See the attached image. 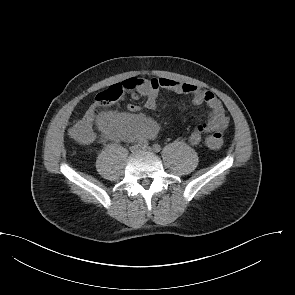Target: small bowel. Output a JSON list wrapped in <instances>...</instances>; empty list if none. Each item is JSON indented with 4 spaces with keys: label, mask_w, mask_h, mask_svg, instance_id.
<instances>
[{
    "label": "small bowel",
    "mask_w": 295,
    "mask_h": 295,
    "mask_svg": "<svg viewBox=\"0 0 295 295\" xmlns=\"http://www.w3.org/2000/svg\"><path fill=\"white\" fill-rule=\"evenodd\" d=\"M137 86L132 90L135 100L146 97L144 108L154 110L157 107L159 92L162 89L178 94H189L193 106L206 105L209 112L207 120L200 123L189 135V142L198 145L204 135L222 137L229 124V118L218 97L211 91L199 86L180 82L169 78L135 79ZM130 113L107 112L100 115L98 124L109 137L120 140H135L153 137L157 127L146 115L140 113L142 107L130 103Z\"/></svg>",
    "instance_id": "c3829d8e"
}]
</instances>
